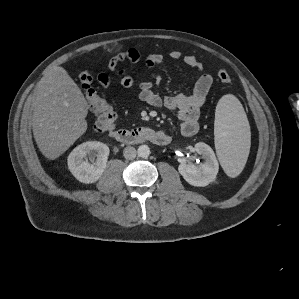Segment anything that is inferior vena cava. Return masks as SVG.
<instances>
[{
	"instance_id": "obj_1",
	"label": "inferior vena cava",
	"mask_w": 299,
	"mask_h": 299,
	"mask_svg": "<svg viewBox=\"0 0 299 299\" xmlns=\"http://www.w3.org/2000/svg\"><path fill=\"white\" fill-rule=\"evenodd\" d=\"M136 149L132 146H127L125 147L124 151H123V155L126 159L128 160H132L136 157Z\"/></svg>"
}]
</instances>
